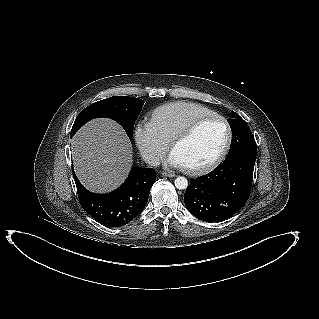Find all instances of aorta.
I'll list each match as a JSON object with an SVG mask.
<instances>
[{
	"label": "aorta",
	"mask_w": 319,
	"mask_h": 319,
	"mask_svg": "<svg viewBox=\"0 0 319 319\" xmlns=\"http://www.w3.org/2000/svg\"><path fill=\"white\" fill-rule=\"evenodd\" d=\"M175 187L177 188V189H186L187 188V186H188V181H187V179L185 178V177H177L176 179H175Z\"/></svg>",
	"instance_id": "762f6f07"
}]
</instances>
